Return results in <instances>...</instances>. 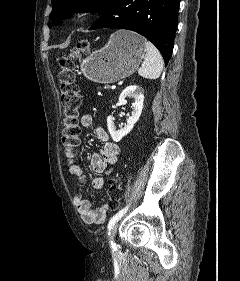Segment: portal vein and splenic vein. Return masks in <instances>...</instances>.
I'll list each match as a JSON object with an SVG mask.
<instances>
[{"label":"portal vein and splenic vein","instance_id":"1","mask_svg":"<svg viewBox=\"0 0 240 281\" xmlns=\"http://www.w3.org/2000/svg\"><path fill=\"white\" fill-rule=\"evenodd\" d=\"M111 89H112V90H115V89H116V86H115V85L111 86Z\"/></svg>","mask_w":240,"mask_h":281}]
</instances>
